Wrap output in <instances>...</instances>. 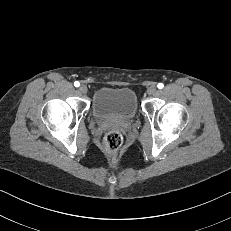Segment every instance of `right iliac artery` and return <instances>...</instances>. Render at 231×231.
<instances>
[{"label":"right iliac artery","instance_id":"1","mask_svg":"<svg viewBox=\"0 0 231 231\" xmlns=\"http://www.w3.org/2000/svg\"><path fill=\"white\" fill-rule=\"evenodd\" d=\"M75 87H79L80 83L78 81L74 82Z\"/></svg>","mask_w":231,"mask_h":231}]
</instances>
